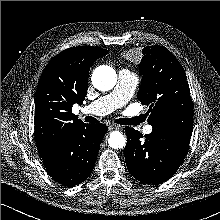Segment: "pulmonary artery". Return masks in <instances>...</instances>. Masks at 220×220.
Masks as SVG:
<instances>
[{
    "label": "pulmonary artery",
    "instance_id": "e3ab8cb5",
    "mask_svg": "<svg viewBox=\"0 0 220 220\" xmlns=\"http://www.w3.org/2000/svg\"><path fill=\"white\" fill-rule=\"evenodd\" d=\"M138 85V77L136 74L121 70L118 73V80L115 88L108 94L99 97L86 107L83 111L95 116H104L123 107L133 96ZM152 126L146 125L143 128L145 133H151Z\"/></svg>",
    "mask_w": 220,
    "mask_h": 220
}]
</instances>
